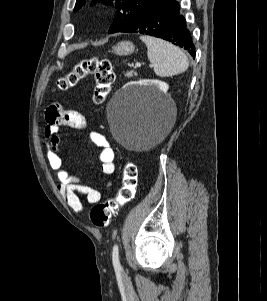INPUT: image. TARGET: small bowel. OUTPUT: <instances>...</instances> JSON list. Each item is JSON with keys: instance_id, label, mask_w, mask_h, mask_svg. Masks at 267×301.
<instances>
[{"instance_id": "small-bowel-1", "label": "small bowel", "mask_w": 267, "mask_h": 301, "mask_svg": "<svg viewBox=\"0 0 267 301\" xmlns=\"http://www.w3.org/2000/svg\"><path fill=\"white\" fill-rule=\"evenodd\" d=\"M46 126L44 137L46 139V158L50 168L55 172L58 180V189L66 204L76 213L83 211L80 196L83 195L87 202L96 204L101 200L102 194L112 186L109 178L115 171L114 151L104 135L98 132H90V141L99 148V163L101 172L107 177L100 189L91 188L77 177L70 175L64 168L62 158L58 152V132L62 127L83 130L87 122L80 112L64 109L59 104H52L45 113Z\"/></svg>"}]
</instances>
